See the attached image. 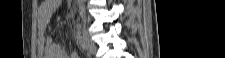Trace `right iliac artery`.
Listing matches in <instances>:
<instances>
[{
    "label": "right iliac artery",
    "instance_id": "right-iliac-artery-1",
    "mask_svg": "<svg viewBox=\"0 0 225 58\" xmlns=\"http://www.w3.org/2000/svg\"><path fill=\"white\" fill-rule=\"evenodd\" d=\"M77 43L80 45V47H82L83 49H85V44H84V40L82 38L81 35H77Z\"/></svg>",
    "mask_w": 225,
    "mask_h": 58
}]
</instances>
